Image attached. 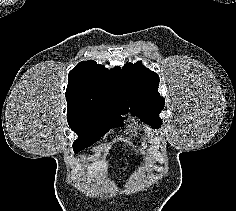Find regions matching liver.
<instances>
[{
    "mask_svg": "<svg viewBox=\"0 0 236 211\" xmlns=\"http://www.w3.org/2000/svg\"><path fill=\"white\" fill-rule=\"evenodd\" d=\"M107 170V162L106 161H95L92 164L87 166V176L92 178L95 176V172Z\"/></svg>",
    "mask_w": 236,
    "mask_h": 211,
    "instance_id": "1",
    "label": "liver"
}]
</instances>
